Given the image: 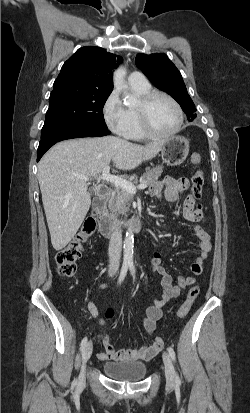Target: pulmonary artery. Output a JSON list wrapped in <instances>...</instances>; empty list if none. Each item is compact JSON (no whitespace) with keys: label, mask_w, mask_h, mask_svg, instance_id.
<instances>
[{"label":"pulmonary artery","mask_w":250,"mask_h":413,"mask_svg":"<svg viewBox=\"0 0 250 413\" xmlns=\"http://www.w3.org/2000/svg\"><path fill=\"white\" fill-rule=\"evenodd\" d=\"M128 83L130 86L144 87L148 85L145 76L140 72H132L128 77Z\"/></svg>","instance_id":"e3ab8cb5"}]
</instances>
